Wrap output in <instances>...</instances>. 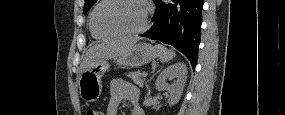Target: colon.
<instances>
[{
	"mask_svg": "<svg viewBox=\"0 0 285 115\" xmlns=\"http://www.w3.org/2000/svg\"><path fill=\"white\" fill-rule=\"evenodd\" d=\"M86 114L87 115H101L102 113L96 109H89Z\"/></svg>",
	"mask_w": 285,
	"mask_h": 115,
	"instance_id": "5ec220e1",
	"label": "colon"
}]
</instances>
